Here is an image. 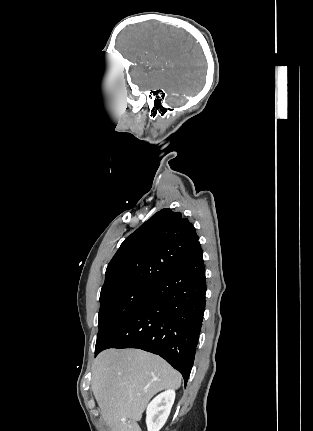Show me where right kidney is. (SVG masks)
I'll use <instances>...</instances> for the list:
<instances>
[{
    "label": "right kidney",
    "mask_w": 313,
    "mask_h": 431,
    "mask_svg": "<svg viewBox=\"0 0 313 431\" xmlns=\"http://www.w3.org/2000/svg\"><path fill=\"white\" fill-rule=\"evenodd\" d=\"M175 400V391L169 389L156 396L147 406L146 424L148 431H159L167 421Z\"/></svg>",
    "instance_id": "1"
}]
</instances>
